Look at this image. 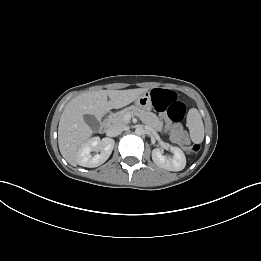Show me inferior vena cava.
<instances>
[{
  "instance_id": "inferior-vena-cava-1",
  "label": "inferior vena cava",
  "mask_w": 261,
  "mask_h": 261,
  "mask_svg": "<svg viewBox=\"0 0 261 261\" xmlns=\"http://www.w3.org/2000/svg\"><path fill=\"white\" fill-rule=\"evenodd\" d=\"M125 128L126 126L124 124L115 123L107 128L106 134L110 137H116L120 135L125 130Z\"/></svg>"
}]
</instances>
